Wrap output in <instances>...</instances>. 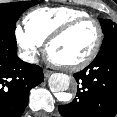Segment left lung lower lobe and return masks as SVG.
<instances>
[{
  "label": "left lung lower lobe",
  "mask_w": 117,
  "mask_h": 117,
  "mask_svg": "<svg viewBox=\"0 0 117 117\" xmlns=\"http://www.w3.org/2000/svg\"><path fill=\"white\" fill-rule=\"evenodd\" d=\"M77 98L59 105L63 117H114L117 114V36L101 46L93 62L73 74Z\"/></svg>",
  "instance_id": "left-lung-lower-lobe-1"
}]
</instances>
